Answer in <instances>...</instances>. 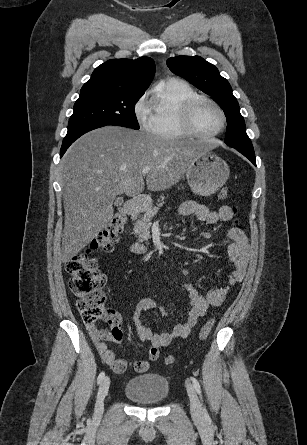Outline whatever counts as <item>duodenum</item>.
<instances>
[{
	"label": "duodenum",
	"instance_id": "obj_1",
	"mask_svg": "<svg viewBox=\"0 0 307 445\" xmlns=\"http://www.w3.org/2000/svg\"><path fill=\"white\" fill-rule=\"evenodd\" d=\"M147 201L148 198L146 196H138L133 198L126 202L124 205V211L126 214L133 217L142 210ZM131 250L135 253H143L146 249L143 245L136 243L131 246Z\"/></svg>",
	"mask_w": 307,
	"mask_h": 445
}]
</instances>
